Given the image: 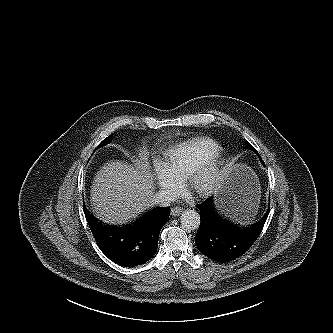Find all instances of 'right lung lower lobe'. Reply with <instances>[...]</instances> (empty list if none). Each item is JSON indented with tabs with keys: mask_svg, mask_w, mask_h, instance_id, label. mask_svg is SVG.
Segmentation results:
<instances>
[{
	"mask_svg": "<svg viewBox=\"0 0 333 333\" xmlns=\"http://www.w3.org/2000/svg\"><path fill=\"white\" fill-rule=\"evenodd\" d=\"M170 208H154L122 226L97 220L84 206V214L101 251L114 263L136 267L156 253L161 228L169 221Z\"/></svg>",
	"mask_w": 333,
	"mask_h": 333,
	"instance_id": "98d812e1",
	"label": "right lung lower lobe"
}]
</instances>
